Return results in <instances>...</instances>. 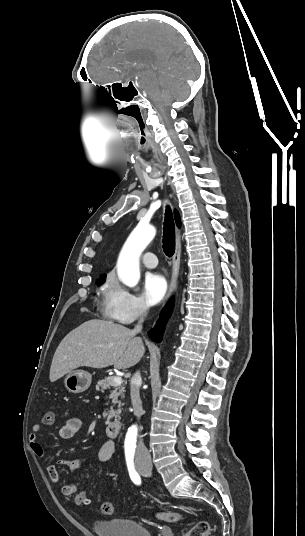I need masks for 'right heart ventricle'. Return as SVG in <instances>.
I'll return each instance as SVG.
<instances>
[{
	"instance_id": "e07e8e85",
	"label": "right heart ventricle",
	"mask_w": 305,
	"mask_h": 536,
	"mask_svg": "<svg viewBox=\"0 0 305 536\" xmlns=\"http://www.w3.org/2000/svg\"><path fill=\"white\" fill-rule=\"evenodd\" d=\"M109 288H110V285H107V286L103 289V295L105 296V298H106V296H107V294H108Z\"/></svg>"
}]
</instances>
